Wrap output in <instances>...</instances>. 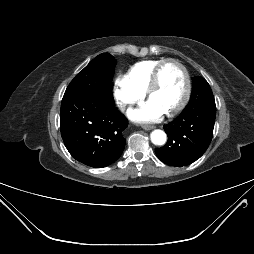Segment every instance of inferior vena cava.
Returning <instances> with one entry per match:
<instances>
[{"label":"inferior vena cava","mask_w":254,"mask_h":254,"mask_svg":"<svg viewBox=\"0 0 254 254\" xmlns=\"http://www.w3.org/2000/svg\"><path fill=\"white\" fill-rule=\"evenodd\" d=\"M119 107L123 110V109L125 108V105L122 104V103H120V104H119Z\"/></svg>","instance_id":"1"}]
</instances>
